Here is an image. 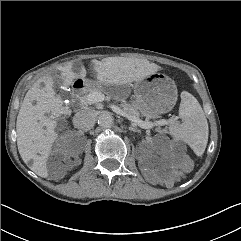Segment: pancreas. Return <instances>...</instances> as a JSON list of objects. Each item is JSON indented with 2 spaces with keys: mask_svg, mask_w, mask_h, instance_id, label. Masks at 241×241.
I'll return each instance as SVG.
<instances>
[{
  "mask_svg": "<svg viewBox=\"0 0 241 241\" xmlns=\"http://www.w3.org/2000/svg\"><path fill=\"white\" fill-rule=\"evenodd\" d=\"M93 92H98V93H101L102 92V89L99 87V86H94V87H91V89L87 92H85L84 95H82L81 97H79V102H80V105L82 107H87L89 104H92L90 101H89V94L93 93ZM121 107L123 108V111L125 113H127L128 115H131V116H135V117H139V112L130 104L128 103H122L121 104ZM170 128H173L175 127L176 125V122L171 119L170 122Z\"/></svg>",
  "mask_w": 241,
  "mask_h": 241,
  "instance_id": "1",
  "label": "pancreas"
}]
</instances>
